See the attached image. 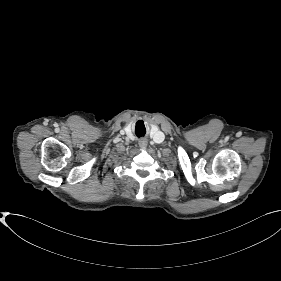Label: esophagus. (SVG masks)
<instances>
[{
	"instance_id": "esophagus-1",
	"label": "esophagus",
	"mask_w": 281,
	"mask_h": 281,
	"mask_svg": "<svg viewBox=\"0 0 281 281\" xmlns=\"http://www.w3.org/2000/svg\"><path fill=\"white\" fill-rule=\"evenodd\" d=\"M139 146H140L141 148H146L147 142L144 141V140H142V141L139 142Z\"/></svg>"
}]
</instances>
